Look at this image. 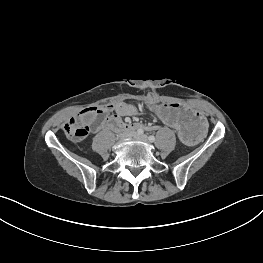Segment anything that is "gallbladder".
<instances>
[{
    "instance_id": "bac80fb5",
    "label": "gallbladder",
    "mask_w": 263,
    "mask_h": 263,
    "mask_svg": "<svg viewBox=\"0 0 263 263\" xmlns=\"http://www.w3.org/2000/svg\"><path fill=\"white\" fill-rule=\"evenodd\" d=\"M94 118V114L93 113H87L85 116H84V120L89 123L91 122V120H93Z\"/></svg>"
}]
</instances>
